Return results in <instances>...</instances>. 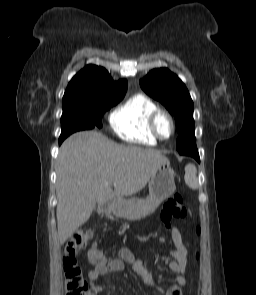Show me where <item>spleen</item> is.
<instances>
[{
  "mask_svg": "<svg viewBox=\"0 0 256 295\" xmlns=\"http://www.w3.org/2000/svg\"><path fill=\"white\" fill-rule=\"evenodd\" d=\"M196 173H197V170L194 165H188L186 167L185 182L192 189H197V187H198Z\"/></svg>",
  "mask_w": 256,
  "mask_h": 295,
  "instance_id": "spleen-1",
  "label": "spleen"
}]
</instances>
